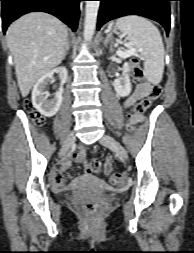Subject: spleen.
<instances>
[{
    "label": "spleen",
    "instance_id": "spleen-1",
    "mask_svg": "<svg viewBox=\"0 0 194 253\" xmlns=\"http://www.w3.org/2000/svg\"><path fill=\"white\" fill-rule=\"evenodd\" d=\"M116 26L144 59V75L153 84L162 80L164 72V45L159 30L149 20L129 15L119 18Z\"/></svg>",
    "mask_w": 194,
    "mask_h": 253
}]
</instances>
